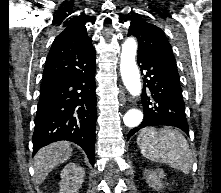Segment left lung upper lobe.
I'll list each match as a JSON object with an SVG mask.
<instances>
[{
  "label": "left lung upper lobe",
  "instance_id": "obj_1",
  "mask_svg": "<svg viewBox=\"0 0 221 193\" xmlns=\"http://www.w3.org/2000/svg\"><path fill=\"white\" fill-rule=\"evenodd\" d=\"M128 35L138 39V53L177 67L171 45L159 27L135 17L131 21Z\"/></svg>",
  "mask_w": 221,
  "mask_h": 193
}]
</instances>
